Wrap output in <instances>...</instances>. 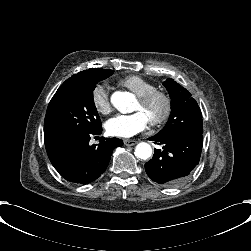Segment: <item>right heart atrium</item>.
<instances>
[{"instance_id": "obj_1", "label": "right heart atrium", "mask_w": 251, "mask_h": 251, "mask_svg": "<svg viewBox=\"0 0 251 251\" xmlns=\"http://www.w3.org/2000/svg\"><path fill=\"white\" fill-rule=\"evenodd\" d=\"M90 97L91 103L97 112L107 114L110 111V98L106 85L96 84L92 88Z\"/></svg>"}]
</instances>
